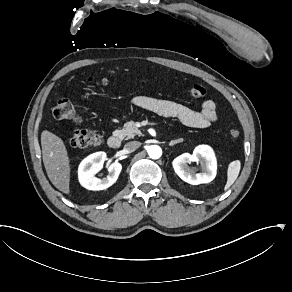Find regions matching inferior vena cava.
Wrapping results in <instances>:
<instances>
[{
	"instance_id": "inferior-vena-cava-1",
	"label": "inferior vena cava",
	"mask_w": 292,
	"mask_h": 292,
	"mask_svg": "<svg viewBox=\"0 0 292 292\" xmlns=\"http://www.w3.org/2000/svg\"><path fill=\"white\" fill-rule=\"evenodd\" d=\"M140 146H141V143L139 141H131V142L126 143L124 148L129 152H133Z\"/></svg>"
}]
</instances>
